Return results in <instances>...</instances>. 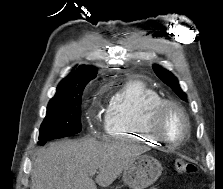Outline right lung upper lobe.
Masks as SVG:
<instances>
[{
  "instance_id": "cb5924a9",
  "label": "right lung upper lobe",
  "mask_w": 223,
  "mask_h": 189,
  "mask_svg": "<svg viewBox=\"0 0 223 189\" xmlns=\"http://www.w3.org/2000/svg\"><path fill=\"white\" fill-rule=\"evenodd\" d=\"M96 75L95 67L80 66L59 83L55 96H68L84 90L86 84Z\"/></svg>"
}]
</instances>
